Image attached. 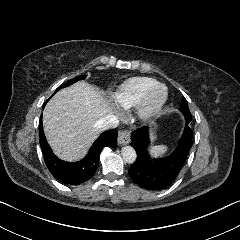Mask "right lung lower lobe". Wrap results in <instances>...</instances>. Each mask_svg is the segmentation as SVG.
<instances>
[{"label":"right lung lower lobe","mask_w":240,"mask_h":240,"mask_svg":"<svg viewBox=\"0 0 240 240\" xmlns=\"http://www.w3.org/2000/svg\"><path fill=\"white\" fill-rule=\"evenodd\" d=\"M117 130L102 133L91 146L86 157L78 162H65L58 159L48 145L43 128L42 115L39 125V142L44 155V161L50 173L61 183L77 185L92 178L99 166V155L103 148L117 146Z\"/></svg>","instance_id":"1"}]
</instances>
